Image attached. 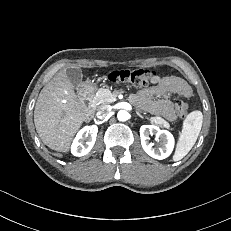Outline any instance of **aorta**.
I'll return each instance as SVG.
<instances>
[{
  "instance_id": "aorta-1",
  "label": "aorta",
  "mask_w": 231,
  "mask_h": 231,
  "mask_svg": "<svg viewBox=\"0 0 231 231\" xmlns=\"http://www.w3.org/2000/svg\"><path fill=\"white\" fill-rule=\"evenodd\" d=\"M117 118H118L119 121H126L129 118V113L127 111H125V110H120L117 113Z\"/></svg>"
}]
</instances>
